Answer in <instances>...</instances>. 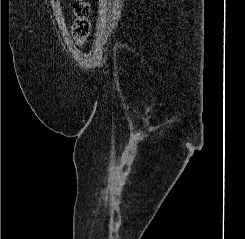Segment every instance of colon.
Instances as JSON below:
<instances>
[{"instance_id":"1","label":"colon","mask_w":245,"mask_h":239,"mask_svg":"<svg viewBox=\"0 0 245 239\" xmlns=\"http://www.w3.org/2000/svg\"><path fill=\"white\" fill-rule=\"evenodd\" d=\"M73 12L75 19L72 25V35L78 45H83L91 30V4L85 0H76Z\"/></svg>"}]
</instances>
